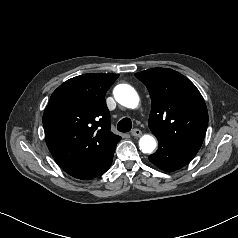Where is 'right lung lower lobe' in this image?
<instances>
[{
    "mask_svg": "<svg viewBox=\"0 0 238 238\" xmlns=\"http://www.w3.org/2000/svg\"><path fill=\"white\" fill-rule=\"evenodd\" d=\"M112 159H113V157L111 159L107 160V162L104 166V169H103L104 172H106L110 168L111 163H112Z\"/></svg>",
    "mask_w": 238,
    "mask_h": 238,
    "instance_id": "obj_1",
    "label": "right lung lower lobe"
}]
</instances>
